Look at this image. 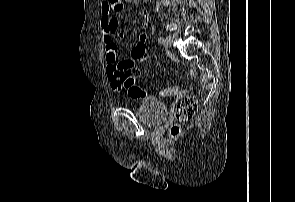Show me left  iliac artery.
<instances>
[{
    "instance_id": "1",
    "label": "left iliac artery",
    "mask_w": 295,
    "mask_h": 202,
    "mask_svg": "<svg viewBox=\"0 0 295 202\" xmlns=\"http://www.w3.org/2000/svg\"><path fill=\"white\" fill-rule=\"evenodd\" d=\"M158 42L160 43V44H163L164 43V38L163 37H158Z\"/></svg>"
}]
</instances>
